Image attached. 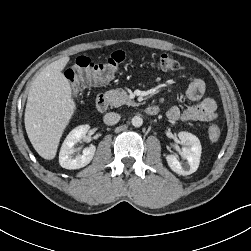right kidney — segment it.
Returning <instances> with one entry per match:
<instances>
[{
  "label": "right kidney",
  "mask_w": 251,
  "mask_h": 251,
  "mask_svg": "<svg viewBox=\"0 0 251 251\" xmlns=\"http://www.w3.org/2000/svg\"><path fill=\"white\" fill-rule=\"evenodd\" d=\"M89 128L90 127L87 124L80 125L67 135L59 153V163L61 167L70 170L79 169L85 167L91 162L96 151L94 145L85 148L82 155L73 156L75 152L74 145L85 137Z\"/></svg>",
  "instance_id": "ca27d5eb"
}]
</instances>
